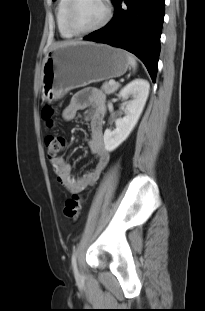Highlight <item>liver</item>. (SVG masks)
Masks as SVG:
<instances>
[{"instance_id":"1","label":"liver","mask_w":205,"mask_h":311,"mask_svg":"<svg viewBox=\"0 0 205 311\" xmlns=\"http://www.w3.org/2000/svg\"><path fill=\"white\" fill-rule=\"evenodd\" d=\"M73 43H79V42L66 41V42H63V43L56 44L55 47H58V46H61V45H66V44H73Z\"/></svg>"}]
</instances>
